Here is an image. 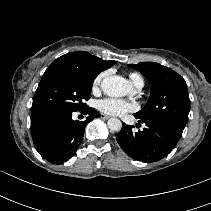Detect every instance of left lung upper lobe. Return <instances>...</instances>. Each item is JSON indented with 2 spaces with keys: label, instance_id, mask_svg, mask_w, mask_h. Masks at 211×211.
<instances>
[{
  "label": "left lung upper lobe",
  "instance_id": "obj_1",
  "mask_svg": "<svg viewBox=\"0 0 211 211\" xmlns=\"http://www.w3.org/2000/svg\"><path fill=\"white\" fill-rule=\"evenodd\" d=\"M128 66L141 72L149 81L151 94L146 106L134 115L142 120L164 121L183 131L190 110V99L183 77L156 62Z\"/></svg>",
  "mask_w": 211,
  "mask_h": 211
}]
</instances>
